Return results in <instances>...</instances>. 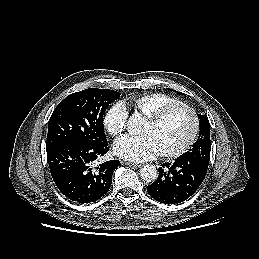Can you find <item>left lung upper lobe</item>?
<instances>
[{"label":"left lung upper lobe","instance_id":"obj_1","mask_svg":"<svg viewBox=\"0 0 259 259\" xmlns=\"http://www.w3.org/2000/svg\"><path fill=\"white\" fill-rule=\"evenodd\" d=\"M179 94L182 95L181 92ZM200 132L197 141L189 151L182 154V156L192 158L196 161L209 164L211 141H210V123L206 115H198Z\"/></svg>","mask_w":259,"mask_h":259}]
</instances>
